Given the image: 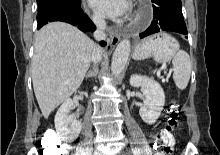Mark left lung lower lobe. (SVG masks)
I'll list each match as a JSON object with an SVG mask.
<instances>
[{"label": "left lung lower lobe", "mask_w": 220, "mask_h": 155, "mask_svg": "<svg viewBox=\"0 0 220 155\" xmlns=\"http://www.w3.org/2000/svg\"><path fill=\"white\" fill-rule=\"evenodd\" d=\"M153 21L146 31L140 34V38L160 32L172 31L187 34L184 22L181 0H152Z\"/></svg>", "instance_id": "left-lung-lower-lobe-1"}]
</instances>
